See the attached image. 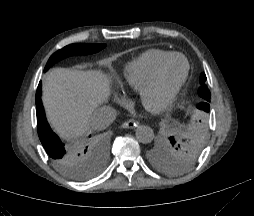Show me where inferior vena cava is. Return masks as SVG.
<instances>
[{
    "instance_id": "inferior-vena-cava-1",
    "label": "inferior vena cava",
    "mask_w": 254,
    "mask_h": 216,
    "mask_svg": "<svg viewBox=\"0 0 254 216\" xmlns=\"http://www.w3.org/2000/svg\"><path fill=\"white\" fill-rule=\"evenodd\" d=\"M117 111L110 106L97 108L89 118V125L94 130H104L116 119Z\"/></svg>"
}]
</instances>
